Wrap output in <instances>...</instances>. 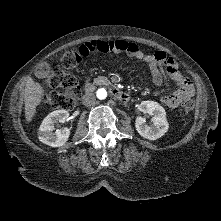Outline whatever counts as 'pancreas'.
Returning a JSON list of instances; mask_svg holds the SVG:
<instances>
[{"label": "pancreas", "instance_id": "cf45deb5", "mask_svg": "<svg viewBox=\"0 0 221 221\" xmlns=\"http://www.w3.org/2000/svg\"><path fill=\"white\" fill-rule=\"evenodd\" d=\"M94 83L96 85H102V84L106 85V84L109 83V80L106 77L99 76V77L94 79Z\"/></svg>", "mask_w": 221, "mask_h": 221}]
</instances>
